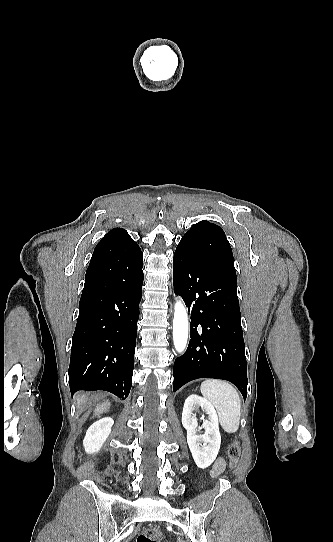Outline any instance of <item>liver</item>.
Instances as JSON below:
<instances>
[{
  "label": "liver",
  "mask_w": 333,
  "mask_h": 542,
  "mask_svg": "<svg viewBox=\"0 0 333 542\" xmlns=\"http://www.w3.org/2000/svg\"><path fill=\"white\" fill-rule=\"evenodd\" d=\"M88 394H76L75 396V402L77 406H81L83 402H86ZM109 406H111L110 402H103V404H100V406H96L94 410V416H98L100 418L101 414H104V412H107L109 410Z\"/></svg>",
  "instance_id": "6515ba94"
}]
</instances>
